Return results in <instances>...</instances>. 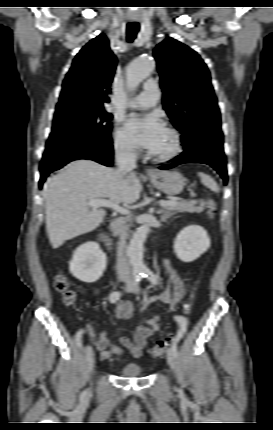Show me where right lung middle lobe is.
I'll return each instance as SVG.
<instances>
[{
  "label": "right lung middle lobe",
  "instance_id": "dd1d6c3e",
  "mask_svg": "<svg viewBox=\"0 0 273 430\" xmlns=\"http://www.w3.org/2000/svg\"><path fill=\"white\" fill-rule=\"evenodd\" d=\"M111 119L112 115L101 107L75 103L56 108L43 159L82 147L110 146Z\"/></svg>",
  "mask_w": 273,
  "mask_h": 430
}]
</instances>
